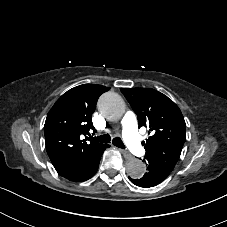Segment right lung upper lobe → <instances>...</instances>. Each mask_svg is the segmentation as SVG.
I'll use <instances>...</instances> for the list:
<instances>
[{
	"instance_id": "right-lung-upper-lobe-1",
	"label": "right lung upper lobe",
	"mask_w": 227,
	"mask_h": 227,
	"mask_svg": "<svg viewBox=\"0 0 227 227\" xmlns=\"http://www.w3.org/2000/svg\"><path fill=\"white\" fill-rule=\"evenodd\" d=\"M110 87L84 84L64 93L49 111L45 125V142L55 168L79 169L85 158L105 144L95 142L90 135L95 128L92 114L99 96Z\"/></svg>"
}]
</instances>
